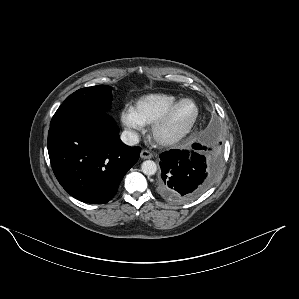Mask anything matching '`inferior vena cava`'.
<instances>
[{"label": "inferior vena cava", "instance_id": "inferior-vena-cava-1", "mask_svg": "<svg viewBox=\"0 0 299 299\" xmlns=\"http://www.w3.org/2000/svg\"><path fill=\"white\" fill-rule=\"evenodd\" d=\"M121 140L124 144L134 146L139 143L138 135L131 130H124L121 134Z\"/></svg>", "mask_w": 299, "mask_h": 299}]
</instances>
